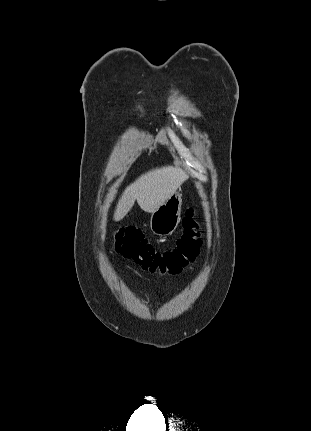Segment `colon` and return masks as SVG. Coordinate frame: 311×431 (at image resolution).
Returning a JSON list of instances; mask_svg holds the SVG:
<instances>
[{
	"label": "colon",
	"mask_w": 311,
	"mask_h": 431,
	"mask_svg": "<svg viewBox=\"0 0 311 431\" xmlns=\"http://www.w3.org/2000/svg\"><path fill=\"white\" fill-rule=\"evenodd\" d=\"M182 226L183 233L172 249L156 250L139 230L133 228H122L115 233L114 249L144 270L178 274L196 259L201 246L199 224L192 208L186 210Z\"/></svg>",
	"instance_id": "colon-1"
}]
</instances>
